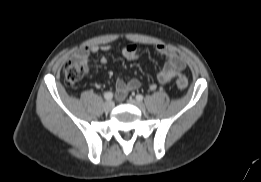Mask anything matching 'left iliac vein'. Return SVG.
Masks as SVG:
<instances>
[{"instance_id": "4c4485c4", "label": "left iliac vein", "mask_w": 261, "mask_h": 182, "mask_svg": "<svg viewBox=\"0 0 261 182\" xmlns=\"http://www.w3.org/2000/svg\"><path fill=\"white\" fill-rule=\"evenodd\" d=\"M127 102L129 103V104H131V105H134V106H136V107H138L141 111H144L146 108H145V105L142 103V102H140V101H138V100H135V99H133V98H129L128 100H127Z\"/></svg>"}]
</instances>
